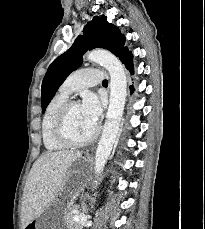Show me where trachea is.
<instances>
[{
  "label": "trachea",
  "instance_id": "1",
  "mask_svg": "<svg viewBox=\"0 0 205 229\" xmlns=\"http://www.w3.org/2000/svg\"><path fill=\"white\" fill-rule=\"evenodd\" d=\"M102 84H108V81H107V80H104V81L102 82Z\"/></svg>",
  "mask_w": 205,
  "mask_h": 229
}]
</instances>
